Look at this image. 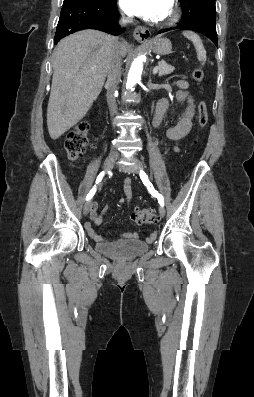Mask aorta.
Returning <instances> with one entry per match:
<instances>
[{
    "label": "aorta",
    "mask_w": 254,
    "mask_h": 397,
    "mask_svg": "<svg viewBox=\"0 0 254 397\" xmlns=\"http://www.w3.org/2000/svg\"><path fill=\"white\" fill-rule=\"evenodd\" d=\"M144 58V56H140L133 61L127 77V89L133 90V87L139 81L143 70Z\"/></svg>",
    "instance_id": "762f6f07"
}]
</instances>
